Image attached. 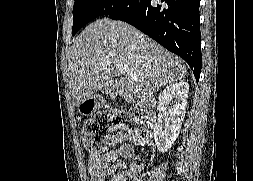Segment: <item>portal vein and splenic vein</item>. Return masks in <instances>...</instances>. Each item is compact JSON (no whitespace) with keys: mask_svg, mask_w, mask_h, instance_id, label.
<instances>
[{"mask_svg":"<svg viewBox=\"0 0 253 181\" xmlns=\"http://www.w3.org/2000/svg\"><path fill=\"white\" fill-rule=\"evenodd\" d=\"M118 72L120 74H126L128 76L134 77L135 73L133 72V70L129 69L127 66L125 65H119L118 66Z\"/></svg>","mask_w":253,"mask_h":181,"instance_id":"portal-vein-and-splenic-vein-1","label":"portal vein and splenic vein"}]
</instances>
